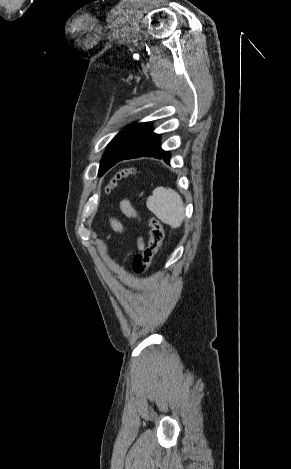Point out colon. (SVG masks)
Returning a JSON list of instances; mask_svg holds the SVG:
<instances>
[{
    "label": "colon",
    "mask_w": 291,
    "mask_h": 469,
    "mask_svg": "<svg viewBox=\"0 0 291 469\" xmlns=\"http://www.w3.org/2000/svg\"><path fill=\"white\" fill-rule=\"evenodd\" d=\"M133 173H135V170L131 168H125V169L120 170L112 177V179L110 180V182L108 183L106 187V191L110 192L120 180L127 178ZM149 224H150V239H149L148 245L142 253L137 254L134 257V260L132 263V269L137 274H143L148 270L154 257L157 255V253L161 249L163 241H164V237H165L163 225L161 224L159 220H157L154 217H151Z\"/></svg>",
    "instance_id": "obj_1"
}]
</instances>
